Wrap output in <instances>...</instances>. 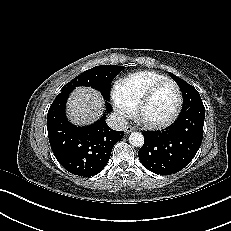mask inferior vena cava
Returning a JSON list of instances; mask_svg holds the SVG:
<instances>
[{
    "label": "inferior vena cava",
    "instance_id": "obj_1",
    "mask_svg": "<svg viewBox=\"0 0 231 231\" xmlns=\"http://www.w3.org/2000/svg\"><path fill=\"white\" fill-rule=\"evenodd\" d=\"M108 126L116 131H122L127 126V120L118 113H111L107 118Z\"/></svg>",
    "mask_w": 231,
    "mask_h": 231
}]
</instances>
